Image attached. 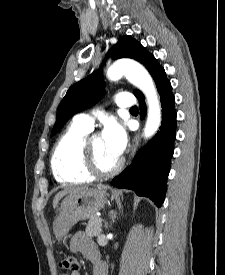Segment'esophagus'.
<instances>
[{"mask_svg":"<svg viewBox=\"0 0 225 275\" xmlns=\"http://www.w3.org/2000/svg\"><path fill=\"white\" fill-rule=\"evenodd\" d=\"M139 143V134L137 133L132 139L131 156L134 157Z\"/></svg>","mask_w":225,"mask_h":275,"instance_id":"1","label":"esophagus"}]
</instances>
